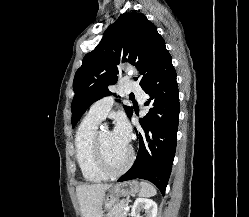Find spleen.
I'll use <instances>...</instances> for the list:
<instances>
[{
  "mask_svg": "<svg viewBox=\"0 0 249 217\" xmlns=\"http://www.w3.org/2000/svg\"><path fill=\"white\" fill-rule=\"evenodd\" d=\"M141 190L139 195L143 197H150L156 195L157 191L153 185L148 182L141 181Z\"/></svg>",
  "mask_w": 249,
  "mask_h": 217,
  "instance_id": "3e777b00",
  "label": "spleen"
}]
</instances>
